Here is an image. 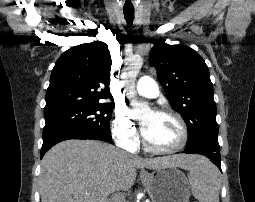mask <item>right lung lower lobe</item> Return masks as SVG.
<instances>
[{"instance_id": "obj_1", "label": "right lung lower lobe", "mask_w": 255, "mask_h": 202, "mask_svg": "<svg viewBox=\"0 0 255 202\" xmlns=\"http://www.w3.org/2000/svg\"><path fill=\"white\" fill-rule=\"evenodd\" d=\"M68 139H90L101 140L82 129L73 127L54 128L43 132V145L40 152V158L55 144Z\"/></svg>"}]
</instances>
